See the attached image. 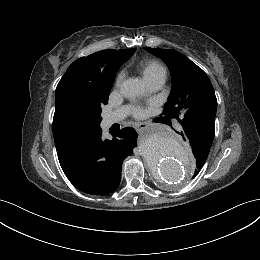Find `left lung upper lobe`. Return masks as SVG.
Here are the masks:
<instances>
[{"instance_id": "5c2ea615", "label": "left lung upper lobe", "mask_w": 260, "mask_h": 260, "mask_svg": "<svg viewBox=\"0 0 260 260\" xmlns=\"http://www.w3.org/2000/svg\"><path fill=\"white\" fill-rule=\"evenodd\" d=\"M146 49L164 59L172 73V90L161 115L169 119L183 114L179 120L183 128H190L213 142L217 99L206 73L176 50ZM205 161L196 160L195 171L199 172Z\"/></svg>"}]
</instances>
